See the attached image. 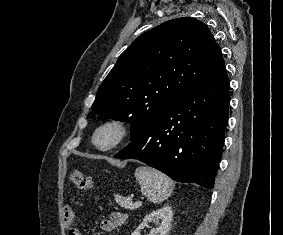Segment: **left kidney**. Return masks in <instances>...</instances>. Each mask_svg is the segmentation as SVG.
I'll return each instance as SVG.
<instances>
[{"instance_id":"5707ae66","label":"left kidney","mask_w":283,"mask_h":235,"mask_svg":"<svg viewBox=\"0 0 283 235\" xmlns=\"http://www.w3.org/2000/svg\"><path fill=\"white\" fill-rule=\"evenodd\" d=\"M173 218V211L170 206L151 212L146 215L142 223L134 230L131 235H141V230L148 226L149 223L154 222L156 227L153 228L148 235H167L170 224Z\"/></svg>"}]
</instances>
